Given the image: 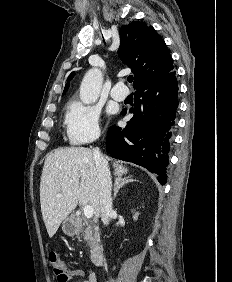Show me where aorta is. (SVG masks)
<instances>
[{"mask_svg":"<svg viewBox=\"0 0 232 282\" xmlns=\"http://www.w3.org/2000/svg\"><path fill=\"white\" fill-rule=\"evenodd\" d=\"M102 73L97 68H92L83 77L80 85V99L84 104L95 102L102 88Z\"/></svg>","mask_w":232,"mask_h":282,"instance_id":"obj_1","label":"aorta"}]
</instances>
